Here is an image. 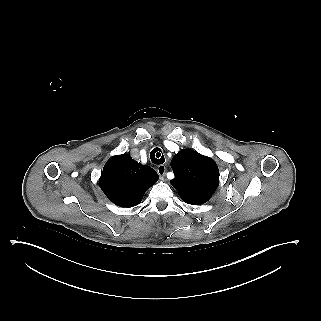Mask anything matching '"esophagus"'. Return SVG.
I'll list each match as a JSON object with an SVG mask.
<instances>
[{"mask_svg": "<svg viewBox=\"0 0 321 321\" xmlns=\"http://www.w3.org/2000/svg\"><path fill=\"white\" fill-rule=\"evenodd\" d=\"M158 175L162 180H164L165 177V172H166V167L165 165H159L157 168Z\"/></svg>", "mask_w": 321, "mask_h": 321, "instance_id": "1", "label": "esophagus"}]
</instances>
